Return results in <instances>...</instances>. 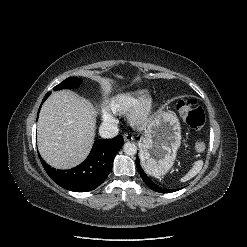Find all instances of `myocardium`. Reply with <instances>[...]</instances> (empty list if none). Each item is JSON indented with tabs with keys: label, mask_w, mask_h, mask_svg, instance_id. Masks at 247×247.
Instances as JSON below:
<instances>
[{
	"label": "myocardium",
	"mask_w": 247,
	"mask_h": 247,
	"mask_svg": "<svg viewBox=\"0 0 247 247\" xmlns=\"http://www.w3.org/2000/svg\"><path fill=\"white\" fill-rule=\"evenodd\" d=\"M155 107V100L152 96L143 97L128 112V120L133 126H141L147 123L152 116Z\"/></svg>",
	"instance_id": "1"
}]
</instances>
